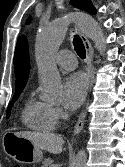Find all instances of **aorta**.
<instances>
[{"mask_svg":"<svg viewBox=\"0 0 125 167\" xmlns=\"http://www.w3.org/2000/svg\"><path fill=\"white\" fill-rule=\"evenodd\" d=\"M70 21H74L80 30L90 38L95 47L104 53L106 43L103 31L99 24L90 15L77 12L55 20L53 23L42 29L36 40V57L41 82V99L49 102H59L62 97V82L57 70L54 56L62 44ZM87 155L80 150L71 167H86Z\"/></svg>","mask_w":125,"mask_h":167,"instance_id":"aorta-1","label":"aorta"}]
</instances>
